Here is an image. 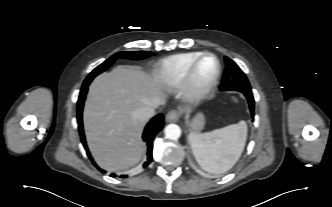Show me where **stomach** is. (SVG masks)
<instances>
[{
    "label": "stomach",
    "mask_w": 332,
    "mask_h": 207,
    "mask_svg": "<svg viewBox=\"0 0 332 207\" xmlns=\"http://www.w3.org/2000/svg\"><path fill=\"white\" fill-rule=\"evenodd\" d=\"M204 126V116L201 113H198L193 119L189 122L190 130L193 132L200 131Z\"/></svg>",
    "instance_id": "1"
}]
</instances>
